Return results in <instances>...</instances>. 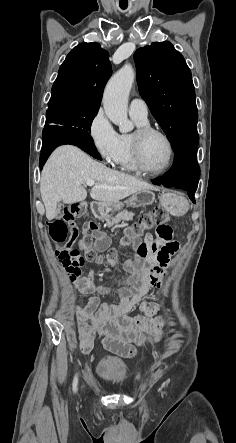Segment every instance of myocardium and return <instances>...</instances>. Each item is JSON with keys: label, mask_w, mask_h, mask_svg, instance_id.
<instances>
[{"label": "myocardium", "mask_w": 236, "mask_h": 443, "mask_svg": "<svg viewBox=\"0 0 236 443\" xmlns=\"http://www.w3.org/2000/svg\"><path fill=\"white\" fill-rule=\"evenodd\" d=\"M151 134H158L160 135L167 143L169 148V159L167 164L159 169V170H152L149 169L142 158V145L146 137H148ZM131 148H132V156H133V162L136 167V169L144 174L147 175H161L165 172H167L171 166L173 165L174 158H175V148L174 144L169 137V135L163 131L162 129L146 124L139 126L136 131L131 136Z\"/></svg>", "instance_id": "f54148a6"}]
</instances>
